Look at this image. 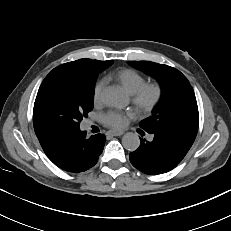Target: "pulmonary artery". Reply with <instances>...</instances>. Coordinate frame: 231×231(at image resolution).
I'll use <instances>...</instances> for the list:
<instances>
[{
    "instance_id": "pulmonary-artery-1",
    "label": "pulmonary artery",
    "mask_w": 231,
    "mask_h": 231,
    "mask_svg": "<svg viewBox=\"0 0 231 231\" xmlns=\"http://www.w3.org/2000/svg\"><path fill=\"white\" fill-rule=\"evenodd\" d=\"M87 126H88V124L85 125V127H87ZM151 139H152V137H149V140H151Z\"/></svg>"
}]
</instances>
